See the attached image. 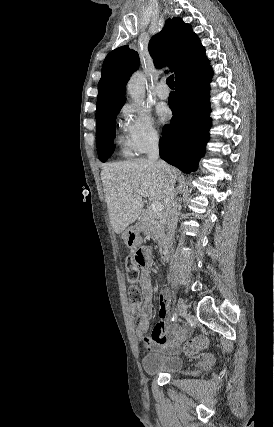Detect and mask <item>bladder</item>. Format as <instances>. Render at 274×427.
<instances>
[{"mask_svg": "<svg viewBox=\"0 0 274 427\" xmlns=\"http://www.w3.org/2000/svg\"><path fill=\"white\" fill-rule=\"evenodd\" d=\"M142 367L145 374H172L182 368L180 356H166L160 353H147L143 357Z\"/></svg>", "mask_w": 274, "mask_h": 427, "instance_id": "31cf9c89", "label": "bladder"}]
</instances>
